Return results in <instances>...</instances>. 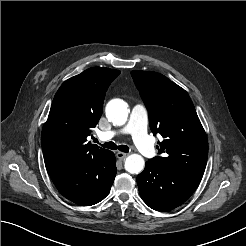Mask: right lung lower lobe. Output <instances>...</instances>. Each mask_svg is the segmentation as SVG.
<instances>
[{
	"label": "right lung lower lobe",
	"mask_w": 246,
	"mask_h": 246,
	"mask_svg": "<svg viewBox=\"0 0 246 246\" xmlns=\"http://www.w3.org/2000/svg\"><path fill=\"white\" fill-rule=\"evenodd\" d=\"M116 171V158L110 151L103 157L77 162L49 175L64 197L76 204L90 206L108 195Z\"/></svg>",
	"instance_id": "obj_1"
}]
</instances>
